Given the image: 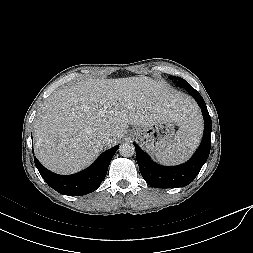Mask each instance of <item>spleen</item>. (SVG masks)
Wrapping results in <instances>:
<instances>
[{"instance_id": "3e777b00", "label": "spleen", "mask_w": 253, "mask_h": 253, "mask_svg": "<svg viewBox=\"0 0 253 253\" xmlns=\"http://www.w3.org/2000/svg\"><path fill=\"white\" fill-rule=\"evenodd\" d=\"M202 130L201 116L191 106L174 140L166 148L156 153V159L165 165H177L188 160L200 142Z\"/></svg>"}]
</instances>
